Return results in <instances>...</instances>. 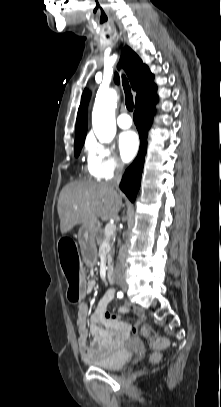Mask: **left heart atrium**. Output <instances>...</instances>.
I'll return each mask as SVG.
<instances>
[{
  "label": "left heart atrium",
  "instance_id": "obj_1",
  "mask_svg": "<svg viewBox=\"0 0 221 407\" xmlns=\"http://www.w3.org/2000/svg\"><path fill=\"white\" fill-rule=\"evenodd\" d=\"M119 150L122 159L128 162L136 155L139 147V139L135 132L126 131L119 136Z\"/></svg>",
  "mask_w": 221,
  "mask_h": 407
}]
</instances>
